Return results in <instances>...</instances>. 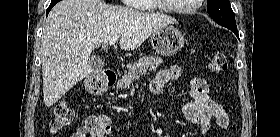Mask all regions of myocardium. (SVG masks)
Instances as JSON below:
<instances>
[{"label":"myocardium","instance_id":"myocardium-1","mask_svg":"<svg viewBox=\"0 0 280 137\" xmlns=\"http://www.w3.org/2000/svg\"><path fill=\"white\" fill-rule=\"evenodd\" d=\"M158 2H160V7L162 10L169 12V13H173V14H178V15H182V14H190L192 12L197 11L201 5H202V0H196L195 3L193 5L190 6H186V7H178V8H174V7H170L166 4H164V0H157Z\"/></svg>","mask_w":280,"mask_h":137}]
</instances>
